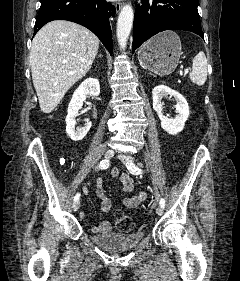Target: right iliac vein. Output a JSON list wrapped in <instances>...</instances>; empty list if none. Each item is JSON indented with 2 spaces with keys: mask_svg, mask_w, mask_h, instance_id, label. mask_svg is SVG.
Wrapping results in <instances>:
<instances>
[{
  "mask_svg": "<svg viewBox=\"0 0 240 281\" xmlns=\"http://www.w3.org/2000/svg\"><path fill=\"white\" fill-rule=\"evenodd\" d=\"M114 156V150L110 149V150H107L104 154V157L106 160H109L111 159L112 157ZM80 207V201H76L72 208H73V211H77Z\"/></svg>",
  "mask_w": 240,
  "mask_h": 281,
  "instance_id": "obj_1",
  "label": "right iliac vein"
}]
</instances>
